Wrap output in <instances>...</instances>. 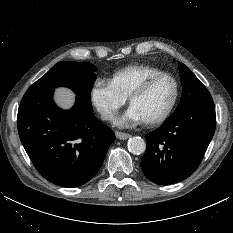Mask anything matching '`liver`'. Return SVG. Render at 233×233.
Wrapping results in <instances>:
<instances>
[{
  "instance_id": "liver-1",
  "label": "liver",
  "mask_w": 233,
  "mask_h": 233,
  "mask_svg": "<svg viewBox=\"0 0 233 233\" xmlns=\"http://www.w3.org/2000/svg\"><path fill=\"white\" fill-rule=\"evenodd\" d=\"M54 96L57 105L63 109L71 108L75 102V94L68 88H57Z\"/></svg>"
}]
</instances>
